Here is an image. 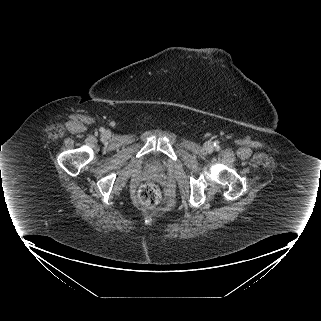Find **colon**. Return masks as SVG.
<instances>
[{
    "mask_svg": "<svg viewBox=\"0 0 321 321\" xmlns=\"http://www.w3.org/2000/svg\"><path fill=\"white\" fill-rule=\"evenodd\" d=\"M139 202L148 208L156 206L161 198L159 187L155 183L142 184L137 192Z\"/></svg>",
    "mask_w": 321,
    "mask_h": 321,
    "instance_id": "colon-1",
    "label": "colon"
}]
</instances>
